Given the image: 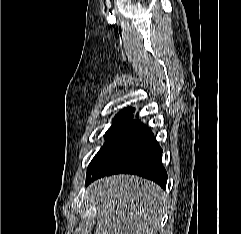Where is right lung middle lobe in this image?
Returning <instances> with one entry per match:
<instances>
[{
	"label": "right lung middle lobe",
	"mask_w": 241,
	"mask_h": 234,
	"mask_svg": "<svg viewBox=\"0 0 241 234\" xmlns=\"http://www.w3.org/2000/svg\"><path fill=\"white\" fill-rule=\"evenodd\" d=\"M133 111L134 108H127L121 111V113H118L113 120L111 128L105 134V137L108 138L121 125V123L124 122L132 114Z\"/></svg>",
	"instance_id": "dd1d6c3e"
}]
</instances>
